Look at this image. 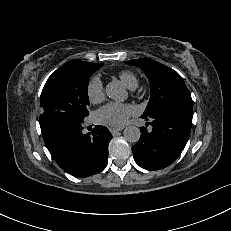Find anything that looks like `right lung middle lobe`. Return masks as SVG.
<instances>
[{
    "instance_id": "right-lung-middle-lobe-1",
    "label": "right lung middle lobe",
    "mask_w": 231,
    "mask_h": 231,
    "mask_svg": "<svg viewBox=\"0 0 231 231\" xmlns=\"http://www.w3.org/2000/svg\"><path fill=\"white\" fill-rule=\"evenodd\" d=\"M103 63L67 62L47 80L41 93L40 127L47 136L65 123L80 122L89 115V77Z\"/></svg>"
}]
</instances>
